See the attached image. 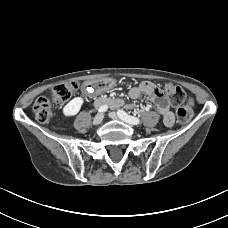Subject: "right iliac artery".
<instances>
[{"instance_id": "82829eb1", "label": "right iliac artery", "mask_w": 228, "mask_h": 228, "mask_svg": "<svg viewBox=\"0 0 228 228\" xmlns=\"http://www.w3.org/2000/svg\"><path fill=\"white\" fill-rule=\"evenodd\" d=\"M107 109H108L107 105H102V106L99 107L98 111L99 112H105Z\"/></svg>"}]
</instances>
